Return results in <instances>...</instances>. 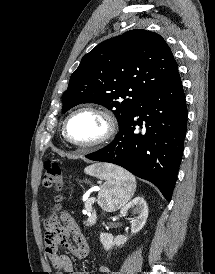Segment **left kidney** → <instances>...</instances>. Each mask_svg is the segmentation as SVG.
<instances>
[{"label":"left kidney","instance_id":"1","mask_svg":"<svg viewBox=\"0 0 215 274\" xmlns=\"http://www.w3.org/2000/svg\"><path fill=\"white\" fill-rule=\"evenodd\" d=\"M132 211L135 217L131 219V234L139 232L145 225L148 218V206L146 201L142 197H136L128 204L124 205L120 214L122 216H127L128 212ZM100 241L104 249L110 250L113 246H121L127 241V237L124 235H118L113 237L108 233L100 234Z\"/></svg>","mask_w":215,"mask_h":274}]
</instances>
